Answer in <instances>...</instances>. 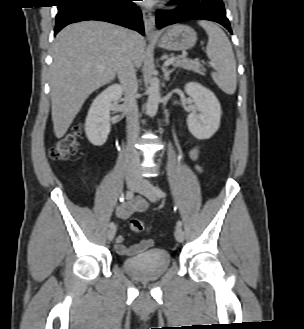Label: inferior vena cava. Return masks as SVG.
<instances>
[{
    "label": "inferior vena cava",
    "mask_w": 304,
    "mask_h": 329,
    "mask_svg": "<svg viewBox=\"0 0 304 329\" xmlns=\"http://www.w3.org/2000/svg\"><path fill=\"white\" fill-rule=\"evenodd\" d=\"M117 74L124 92V110L127 114V140L129 146L127 175L140 179V154L133 148V144L139 136V116L136 101L138 85L135 64L126 33L123 35V47L119 56Z\"/></svg>",
    "instance_id": "obj_1"
}]
</instances>
